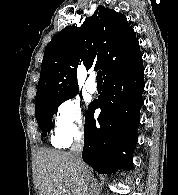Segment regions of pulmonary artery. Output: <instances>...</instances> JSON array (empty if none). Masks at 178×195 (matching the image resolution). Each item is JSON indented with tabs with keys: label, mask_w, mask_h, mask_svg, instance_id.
<instances>
[{
	"label": "pulmonary artery",
	"mask_w": 178,
	"mask_h": 195,
	"mask_svg": "<svg viewBox=\"0 0 178 195\" xmlns=\"http://www.w3.org/2000/svg\"><path fill=\"white\" fill-rule=\"evenodd\" d=\"M86 90L91 94L97 92L96 75L94 73H91L86 81Z\"/></svg>",
	"instance_id": "1"
}]
</instances>
